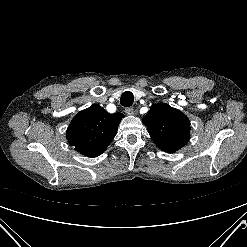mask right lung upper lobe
I'll return each instance as SVG.
<instances>
[{"label":"right lung upper lobe","instance_id":"obj_1","mask_svg":"<svg viewBox=\"0 0 247 247\" xmlns=\"http://www.w3.org/2000/svg\"><path fill=\"white\" fill-rule=\"evenodd\" d=\"M122 113L109 114L103 107L93 104L80 111L71 121L66 138L75 150L88 157L101 155L117 133Z\"/></svg>","mask_w":247,"mask_h":247}]
</instances>
